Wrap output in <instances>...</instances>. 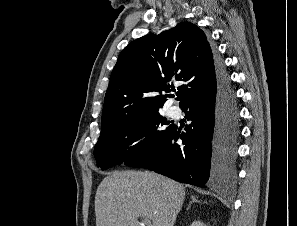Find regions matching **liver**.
<instances>
[{
	"label": "liver",
	"mask_w": 297,
	"mask_h": 226,
	"mask_svg": "<svg viewBox=\"0 0 297 226\" xmlns=\"http://www.w3.org/2000/svg\"><path fill=\"white\" fill-rule=\"evenodd\" d=\"M185 198L176 181L149 171H114L98 186L96 226H174Z\"/></svg>",
	"instance_id": "obj_1"
}]
</instances>
